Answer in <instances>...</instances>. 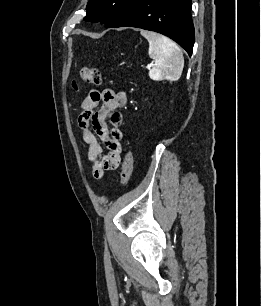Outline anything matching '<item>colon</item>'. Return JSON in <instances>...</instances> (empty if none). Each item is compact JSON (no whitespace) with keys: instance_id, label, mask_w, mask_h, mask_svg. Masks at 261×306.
Here are the masks:
<instances>
[{"instance_id":"1","label":"colon","mask_w":261,"mask_h":306,"mask_svg":"<svg viewBox=\"0 0 261 306\" xmlns=\"http://www.w3.org/2000/svg\"><path fill=\"white\" fill-rule=\"evenodd\" d=\"M80 77L82 81L99 86L102 82L100 72L97 68L91 66H84L80 71ZM73 88L78 90V85L76 82L73 83ZM133 170V156L131 152L125 154L122 170H121V183L126 185L132 175Z\"/></svg>"}]
</instances>
